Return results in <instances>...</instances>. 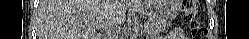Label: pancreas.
<instances>
[{
    "label": "pancreas",
    "mask_w": 249,
    "mask_h": 39,
    "mask_svg": "<svg viewBox=\"0 0 249 39\" xmlns=\"http://www.w3.org/2000/svg\"><path fill=\"white\" fill-rule=\"evenodd\" d=\"M168 26L169 23L167 21L152 18L148 20L145 30L152 37L165 30Z\"/></svg>",
    "instance_id": "obj_1"
}]
</instances>
